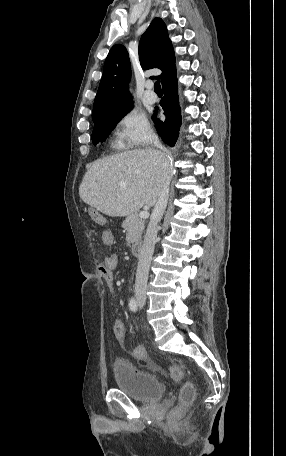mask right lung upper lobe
Segmentation results:
<instances>
[{"mask_svg":"<svg viewBox=\"0 0 286 456\" xmlns=\"http://www.w3.org/2000/svg\"><path fill=\"white\" fill-rule=\"evenodd\" d=\"M139 59L142 68H159L162 74V86L176 77L175 55L168 37L165 23L155 18L139 42ZM131 75V63L126 48L121 44L114 45L104 64L103 76L100 81L93 105V121L106 112L131 106V95L127 91Z\"/></svg>","mask_w":286,"mask_h":456,"instance_id":"cb5924a9","label":"right lung upper lobe"}]
</instances>
